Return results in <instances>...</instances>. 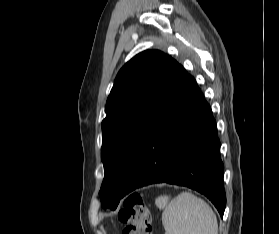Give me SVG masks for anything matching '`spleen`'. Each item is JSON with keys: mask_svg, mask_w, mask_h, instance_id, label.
<instances>
[{"mask_svg": "<svg viewBox=\"0 0 279 234\" xmlns=\"http://www.w3.org/2000/svg\"><path fill=\"white\" fill-rule=\"evenodd\" d=\"M162 209L165 234H218L216 215L202 199L191 193H180L171 199L167 195L155 200Z\"/></svg>", "mask_w": 279, "mask_h": 234, "instance_id": "1", "label": "spleen"}]
</instances>
